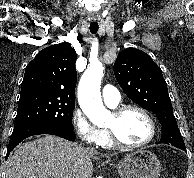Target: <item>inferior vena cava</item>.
<instances>
[{
	"instance_id": "inferior-vena-cava-1",
	"label": "inferior vena cava",
	"mask_w": 194,
	"mask_h": 178,
	"mask_svg": "<svg viewBox=\"0 0 194 178\" xmlns=\"http://www.w3.org/2000/svg\"><path fill=\"white\" fill-rule=\"evenodd\" d=\"M88 150H89V151H94V149H93V148H88Z\"/></svg>"
}]
</instances>
